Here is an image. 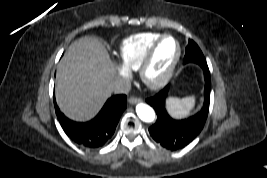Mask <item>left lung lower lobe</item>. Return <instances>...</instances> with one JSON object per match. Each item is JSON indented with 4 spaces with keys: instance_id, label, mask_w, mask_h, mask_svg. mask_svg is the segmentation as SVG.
Listing matches in <instances>:
<instances>
[{
    "instance_id": "left-lung-lower-lobe-1",
    "label": "left lung lower lobe",
    "mask_w": 267,
    "mask_h": 178,
    "mask_svg": "<svg viewBox=\"0 0 267 178\" xmlns=\"http://www.w3.org/2000/svg\"><path fill=\"white\" fill-rule=\"evenodd\" d=\"M203 71L205 79L204 103L195 115L182 120H175L169 116L165 108L169 86L146 100L157 114L156 122L149 128L150 136L168 150L175 151L187 146L204 127L209 112L211 78L208 67L203 68Z\"/></svg>"
}]
</instances>
